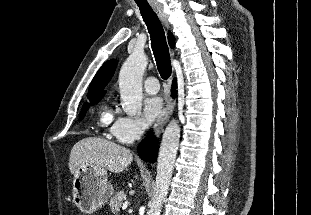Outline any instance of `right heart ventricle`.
I'll list each match as a JSON object with an SVG mask.
<instances>
[{"label": "right heart ventricle", "instance_id": "obj_1", "mask_svg": "<svg viewBox=\"0 0 311 215\" xmlns=\"http://www.w3.org/2000/svg\"><path fill=\"white\" fill-rule=\"evenodd\" d=\"M112 119V111L109 107H104L99 114V123L101 125L108 124Z\"/></svg>", "mask_w": 311, "mask_h": 215}]
</instances>
